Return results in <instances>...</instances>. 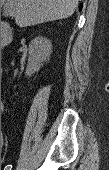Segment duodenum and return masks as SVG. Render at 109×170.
Listing matches in <instances>:
<instances>
[{
	"mask_svg": "<svg viewBox=\"0 0 109 170\" xmlns=\"http://www.w3.org/2000/svg\"><path fill=\"white\" fill-rule=\"evenodd\" d=\"M10 42H11L10 35H9L7 29H4L2 46H7Z\"/></svg>",
	"mask_w": 109,
	"mask_h": 170,
	"instance_id": "duodenum-1",
	"label": "duodenum"
}]
</instances>
